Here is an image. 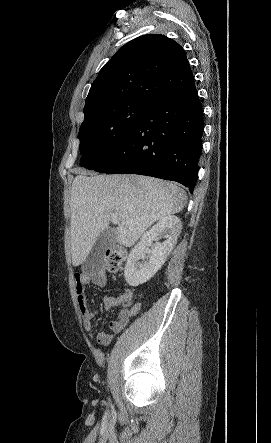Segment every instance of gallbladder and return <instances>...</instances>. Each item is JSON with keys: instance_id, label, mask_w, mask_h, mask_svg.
Masks as SVG:
<instances>
[{"instance_id": "1", "label": "gallbladder", "mask_w": 271, "mask_h": 443, "mask_svg": "<svg viewBox=\"0 0 271 443\" xmlns=\"http://www.w3.org/2000/svg\"><path fill=\"white\" fill-rule=\"evenodd\" d=\"M116 243V235L112 229L101 231L95 245H93L92 251H89V260L81 261V268L85 269L86 273H99L100 269H106V260H109L110 257L109 251H106V249H110Z\"/></svg>"}]
</instances>
